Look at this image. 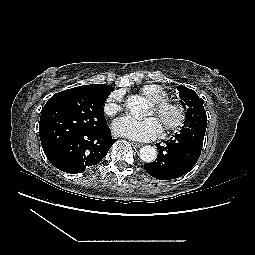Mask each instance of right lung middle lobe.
<instances>
[{
    "mask_svg": "<svg viewBox=\"0 0 255 255\" xmlns=\"http://www.w3.org/2000/svg\"><path fill=\"white\" fill-rule=\"evenodd\" d=\"M110 93L62 91L54 94L41 111L39 135L45 155L51 157L75 135L105 126L103 105Z\"/></svg>",
    "mask_w": 255,
    "mask_h": 255,
    "instance_id": "right-lung-middle-lobe-1",
    "label": "right lung middle lobe"
}]
</instances>
